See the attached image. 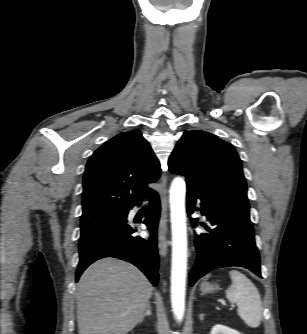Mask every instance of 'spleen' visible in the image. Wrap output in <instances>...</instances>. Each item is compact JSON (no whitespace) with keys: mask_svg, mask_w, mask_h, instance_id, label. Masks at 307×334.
<instances>
[{"mask_svg":"<svg viewBox=\"0 0 307 334\" xmlns=\"http://www.w3.org/2000/svg\"><path fill=\"white\" fill-rule=\"evenodd\" d=\"M232 280L226 290V297L231 303L238 306V314L241 319L252 328L260 325L262 320V303L259 291L252 281L239 271H229ZM207 275L204 280H207Z\"/></svg>","mask_w":307,"mask_h":334,"instance_id":"3e777b00","label":"spleen"}]
</instances>
